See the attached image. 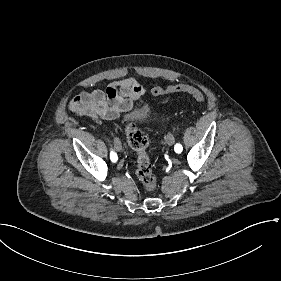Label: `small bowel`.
<instances>
[{"label":"small bowel","mask_w":281,"mask_h":281,"mask_svg":"<svg viewBox=\"0 0 281 281\" xmlns=\"http://www.w3.org/2000/svg\"><path fill=\"white\" fill-rule=\"evenodd\" d=\"M173 87V86H169ZM145 87L134 76L115 80L104 90L83 91L68 104L70 111L92 119L114 120L143 103Z\"/></svg>","instance_id":"obj_1"}]
</instances>
